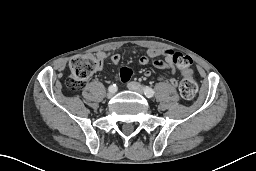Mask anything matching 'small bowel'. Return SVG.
I'll return each instance as SVG.
<instances>
[{
    "mask_svg": "<svg viewBox=\"0 0 256 171\" xmlns=\"http://www.w3.org/2000/svg\"><path fill=\"white\" fill-rule=\"evenodd\" d=\"M133 51L135 52V50ZM178 54L180 53L172 49H148L146 53L140 57L139 64L145 66L152 63L154 66L166 69L171 75H174L177 67L175 57ZM96 55L102 62L109 58L114 64H118L121 59L120 55L117 53L109 54L101 51ZM160 58H164V60H161ZM146 75L149 76L150 72H146ZM170 82L171 84L176 85V80L174 78H171Z\"/></svg>",
    "mask_w": 256,
    "mask_h": 171,
    "instance_id": "1",
    "label": "small bowel"
}]
</instances>
